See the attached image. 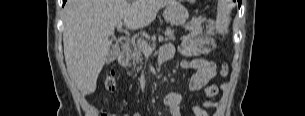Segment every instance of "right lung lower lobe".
<instances>
[{
    "label": "right lung lower lobe",
    "instance_id": "obj_1",
    "mask_svg": "<svg viewBox=\"0 0 305 116\" xmlns=\"http://www.w3.org/2000/svg\"><path fill=\"white\" fill-rule=\"evenodd\" d=\"M66 0H63V4H65Z\"/></svg>",
    "mask_w": 305,
    "mask_h": 116
}]
</instances>
